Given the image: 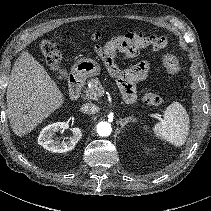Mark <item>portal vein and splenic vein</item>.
I'll return each mask as SVG.
<instances>
[{"label": "portal vein and splenic vein", "mask_w": 211, "mask_h": 211, "mask_svg": "<svg viewBox=\"0 0 211 211\" xmlns=\"http://www.w3.org/2000/svg\"><path fill=\"white\" fill-rule=\"evenodd\" d=\"M153 116H154L155 118L159 119V120H162V118H161V115H160V114L155 113V114H153Z\"/></svg>", "instance_id": "18ae733b"}]
</instances>
